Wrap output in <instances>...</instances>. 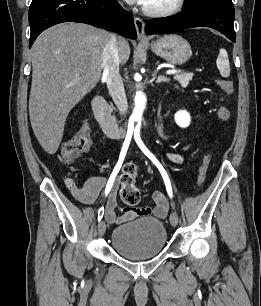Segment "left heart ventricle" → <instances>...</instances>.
<instances>
[{"instance_id": "b2bd125f", "label": "left heart ventricle", "mask_w": 261, "mask_h": 306, "mask_svg": "<svg viewBox=\"0 0 261 306\" xmlns=\"http://www.w3.org/2000/svg\"><path fill=\"white\" fill-rule=\"evenodd\" d=\"M173 2L174 0H149L146 6L153 9H160L169 7Z\"/></svg>"}]
</instances>
